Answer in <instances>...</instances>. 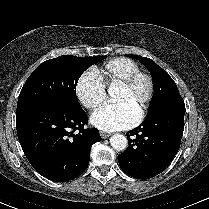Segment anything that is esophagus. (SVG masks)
I'll return each mask as SVG.
<instances>
[{
  "mask_svg": "<svg viewBox=\"0 0 209 209\" xmlns=\"http://www.w3.org/2000/svg\"><path fill=\"white\" fill-rule=\"evenodd\" d=\"M100 136L103 138V139H106L110 136L109 133H105V132H100Z\"/></svg>",
  "mask_w": 209,
  "mask_h": 209,
  "instance_id": "34e87169",
  "label": "esophagus"
}]
</instances>
